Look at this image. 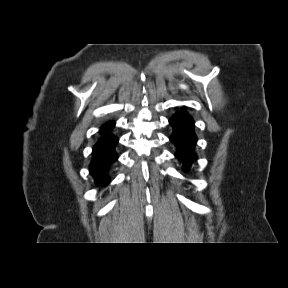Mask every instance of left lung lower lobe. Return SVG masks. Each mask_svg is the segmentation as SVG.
<instances>
[{"mask_svg":"<svg viewBox=\"0 0 288 288\" xmlns=\"http://www.w3.org/2000/svg\"><path fill=\"white\" fill-rule=\"evenodd\" d=\"M174 132L170 136L178 150L175 156L182 162L185 170L197 159L194 151L197 137L194 133V120L185 111L178 112L169 120Z\"/></svg>","mask_w":288,"mask_h":288,"instance_id":"left-lung-lower-lobe-1","label":"left lung lower lobe"}]
</instances>
